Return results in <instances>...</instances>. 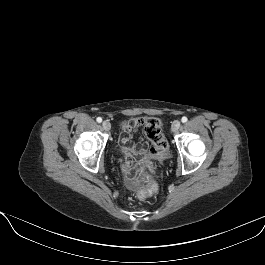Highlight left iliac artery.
<instances>
[{"mask_svg": "<svg viewBox=\"0 0 265 265\" xmlns=\"http://www.w3.org/2000/svg\"><path fill=\"white\" fill-rule=\"evenodd\" d=\"M187 120H188V119H187V117H186V116H183V117H182V119H181L182 123H185V122H187Z\"/></svg>", "mask_w": 265, "mask_h": 265, "instance_id": "obj_1", "label": "left iliac artery"}]
</instances>
